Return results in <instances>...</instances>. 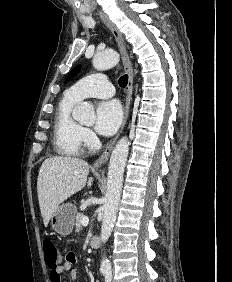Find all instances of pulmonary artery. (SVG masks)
<instances>
[{"label": "pulmonary artery", "mask_w": 232, "mask_h": 282, "mask_svg": "<svg viewBox=\"0 0 232 282\" xmlns=\"http://www.w3.org/2000/svg\"><path fill=\"white\" fill-rule=\"evenodd\" d=\"M67 93L77 100L87 97L110 98L115 94V89L104 74L95 73L76 82Z\"/></svg>", "instance_id": "e3ab8cb5"}]
</instances>
